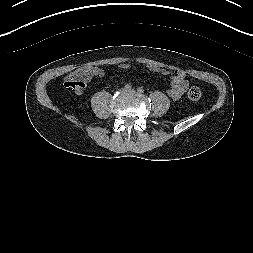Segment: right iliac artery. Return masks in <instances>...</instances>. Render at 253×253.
<instances>
[{
  "instance_id": "right-iliac-artery-1",
  "label": "right iliac artery",
  "mask_w": 253,
  "mask_h": 253,
  "mask_svg": "<svg viewBox=\"0 0 253 253\" xmlns=\"http://www.w3.org/2000/svg\"><path fill=\"white\" fill-rule=\"evenodd\" d=\"M125 89H126V90L131 89V85H130V84L125 85Z\"/></svg>"
}]
</instances>
